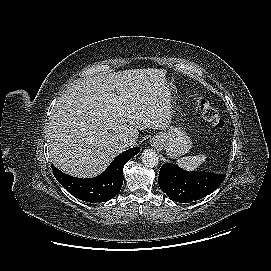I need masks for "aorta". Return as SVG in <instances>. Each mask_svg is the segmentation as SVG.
<instances>
[{"instance_id": "aorta-1", "label": "aorta", "mask_w": 271, "mask_h": 271, "mask_svg": "<svg viewBox=\"0 0 271 271\" xmlns=\"http://www.w3.org/2000/svg\"><path fill=\"white\" fill-rule=\"evenodd\" d=\"M142 162L147 167H155L159 162L157 153L152 149H145L142 152Z\"/></svg>"}]
</instances>
